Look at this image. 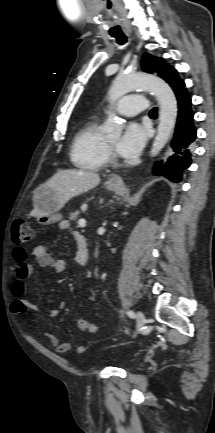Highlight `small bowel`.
<instances>
[{
  "label": "small bowel",
  "mask_w": 215,
  "mask_h": 433,
  "mask_svg": "<svg viewBox=\"0 0 215 433\" xmlns=\"http://www.w3.org/2000/svg\"><path fill=\"white\" fill-rule=\"evenodd\" d=\"M64 229H69L70 224L64 223ZM74 236L78 243V250L76 254V261L78 262L79 248L80 245L85 242L84 238L77 232H74ZM33 255L37 259V262L42 267L51 268L56 274H61L65 271L66 265L62 260H56L52 257L47 247L44 245H37L33 249ZM14 258L17 261L14 278L10 284V293L14 298L12 304V311L17 316H24L29 310H35L36 306L25 299L26 291V280L29 278L32 266L29 264L26 258V252L22 248H16L14 250ZM47 318H55L57 316L56 310H51L45 315ZM49 342L55 347L59 353H66L71 349V343L69 341H60L59 338L54 334H48ZM86 350L85 345H79L77 352L82 353Z\"/></svg>",
  "instance_id": "c3829d8e"
}]
</instances>
